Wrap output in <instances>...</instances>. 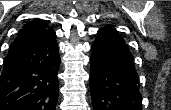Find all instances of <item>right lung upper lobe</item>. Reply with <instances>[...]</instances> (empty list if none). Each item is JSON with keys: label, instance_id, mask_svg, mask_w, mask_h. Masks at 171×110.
I'll return each mask as SVG.
<instances>
[{"label": "right lung upper lobe", "instance_id": "obj_1", "mask_svg": "<svg viewBox=\"0 0 171 110\" xmlns=\"http://www.w3.org/2000/svg\"><path fill=\"white\" fill-rule=\"evenodd\" d=\"M54 30L41 19H34L23 27L12 42L6 57L13 58L16 52L47 38Z\"/></svg>", "mask_w": 171, "mask_h": 110}]
</instances>
